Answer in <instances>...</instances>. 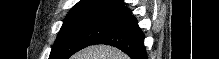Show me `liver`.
Masks as SVG:
<instances>
[{"label":"liver","instance_id":"6515ba94","mask_svg":"<svg viewBox=\"0 0 219 59\" xmlns=\"http://www.w3.org/2000/svg\"><path fill=\"white\" fill-rule=\"evenodd\" d=\"M71 59H129V57L112 46L96 45L77 52Z\"/></svg>","mask_w":219,"mask_h":59}]
</instances>
